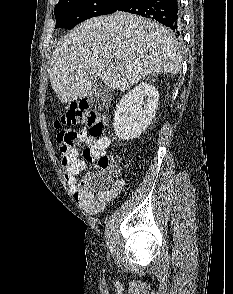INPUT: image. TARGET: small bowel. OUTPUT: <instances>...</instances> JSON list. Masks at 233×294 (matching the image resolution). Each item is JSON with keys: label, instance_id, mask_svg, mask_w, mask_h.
<instances>
[{"label": "small bowel", "instance_id": "obj_1", "mask_svg": "<svg viewBox=\"0 0 233 294\" xmlns=\"http://www.w3.org/2000/svg\"><path fill=\"white\" fill-rule=\"evenodd\" d=\"M73 133V146L61 161L65 179L71 186L77 184V176L85 171L87 162L94 161L98 155L103 154L110 146L108 137L94 138L85 128ZM84 144L87 147L83 150V158H80V150ZM123 187L124 181L121 179L113 180L109 188L95 192H84L79 186L76 198L89 213L95 214L114 200Z\"/></svg>", "mask_w": 233, "mask_h": 294}]
</instances>
